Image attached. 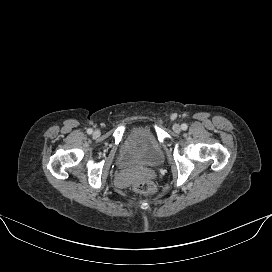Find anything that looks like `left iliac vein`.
Returning a JSON list of instances; mask_svg holds the SVG:
<instances>
[{
    "label": "left iliac vein",
    "instance_id": "4c4485c4",
    "mask_svg": "<svg viewBox=\"0 0 272 272\" xmlns=\"http://www.w3.org/2000/svg\"><path fill=\"white\" fill-rule=\"evenodd\" d=\"M173 131L179 133L181 131V127L179 124H174L172 127Z\"/></svg>",
    "mask_w": 272,
    "mask_h": 272
}]
</instances>
